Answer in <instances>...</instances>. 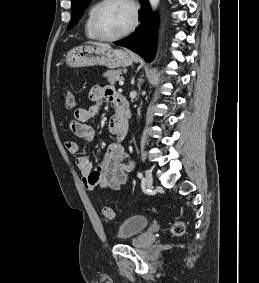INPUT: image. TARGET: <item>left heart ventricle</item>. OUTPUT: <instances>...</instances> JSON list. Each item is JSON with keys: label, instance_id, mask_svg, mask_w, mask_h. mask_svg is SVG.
Instances as JSON below:
<instances>
[{"label": "left heart ventricle", "instance_id": "left-heart-ventricle-1", "mask_svg": "<svg viewBox=\"0 0 259 283\" xmlns=\"http://www.w3.org/2000/svg\"><path fill=\"white\" fill-rule=\"evenodd\" d=\"M132 21L131 7L123 0H114L105 5L98 16V27L105 36L123 32Z\"/></svg>", "mask_w": 259, "mask_h": 283}]
</instances>
